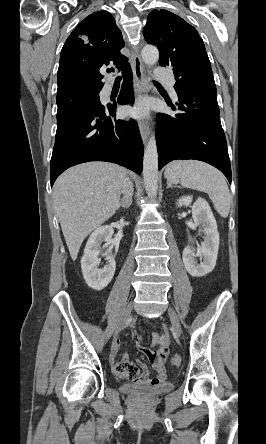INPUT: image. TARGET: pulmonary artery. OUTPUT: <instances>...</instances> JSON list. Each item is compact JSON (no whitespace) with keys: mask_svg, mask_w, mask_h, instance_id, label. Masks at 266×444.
<instances>
[{"mask_svg":"<svg viewBox=\"0 0 266 444\" xmlns=\"http://www.w3.org/2000/svg\"><path fill=\"white\" fill-rule=\"evenodd\" d=\"M154 76L163 81L165 83V85L167 86L170 94L176 98L177 94L174 88L175 85V79L173 76H171L170 74H168L163 67L158 66L155 68L154 70Z\"/></svg>","mask_w":266,"mask_h":444,"instance_id":"obj_1","label":"pulmonary artery"}]
</instances>
